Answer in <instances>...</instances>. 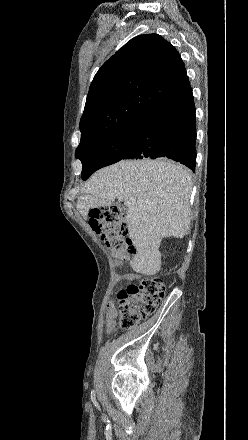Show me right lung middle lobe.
<instances>
[{
  "label": "right lung middle lobe",
  "mask_w": 248,
  "mask_h": 440,
  "mask_svg": "<svg viewBox=\"0 0 248 440\" xmlns=\"http://www.w3.org/2000/svg\"><path fill=\"white\" fill-rule=\"evenodd\" d=\"M130 144L127 127L116 130L96 142L76 150L82 162V179L86 180L96 170L120 161Z\"/></svg>",
  "instance_id": "dd1d6c3e"
}]
</instances>
